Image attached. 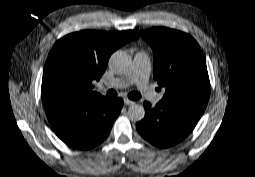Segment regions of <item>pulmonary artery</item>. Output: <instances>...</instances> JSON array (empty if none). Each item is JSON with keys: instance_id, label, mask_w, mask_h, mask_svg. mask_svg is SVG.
I'll return each mask as SVG.
<instances>
[{"instance_id": "1", "label": "pulmonary artery", "mask_w": 255, "mask_h": 177, "mask_svg": "<svg viewBox=\"0 0 255 177\" xmlns=\"http://www.w3.org/2000/svg\"><path fill=\"white\" fill-rule=\"evenodd\" d=\"M150 73V58L145 51H139L135 54L129 70L123 76L112 79L109 86L113 88H126L130 85H137L141 90L148 91Z\"/></svg>"}]
</instances>
